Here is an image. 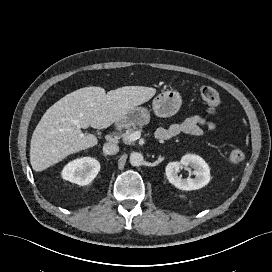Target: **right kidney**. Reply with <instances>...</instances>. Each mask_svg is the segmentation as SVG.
Listing matches in <instances>:
<instances>
[{"label":"right kidney","mask_w":272,"mask_h":272,"mask_svg":"<svg viewBox=\"0 0 272 272\" xmlns=\"http://www.w3.org/2000/svg\"><path fill=\"white\" fill-rule=\"evenodd\" d=\"M100 171V163L95 158L83 157L68 163L62 178L80 186L88 185Z\"/></svg>","instance_id":"1"}]
</instances>
